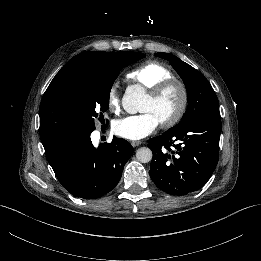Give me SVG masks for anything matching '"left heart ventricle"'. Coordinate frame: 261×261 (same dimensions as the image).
I'll list each match as a JSON object with an SVG mask.
<instances>
[{
    "label": "left heart ventricle",
    "instance_id": "1",
    "mask_svg": "<svg viewBox=\"0 0 261 261\" xmlns=\"http://www.w3.org/2000/svg\"><path fill=\"white\" fill-rule=\"evenodd\" d=\"M180 100V92L177 89H173L157 101H153L147 97L142 105L141 111L152 112L159 122H161L170 118L176 112Z\"/></svg>",
    "mask_w": 261,
    "mask_h": 261
}]
</instances>
